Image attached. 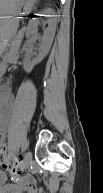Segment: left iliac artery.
I'll return each instance as SVG.
<instances>
[{"label":"left iliac artery","instance_id":"44dca946","mask_svg":"<svg viewBox=\"0 0 103 193\" xmlns=\"http://www.w3.org/2000/svg\"><path fill=\"white\" fill-rule=\"evenodd\" d=\"M27 149V144L26 143H23L22 146H21V151L22 152H25Z\"/></svg>","mask_w":103,"mask_h":193}]
</instances>
